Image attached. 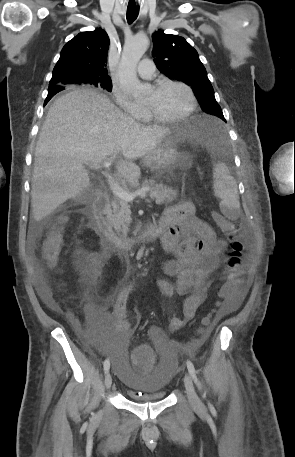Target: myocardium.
<instances>
[{
  "label": "myocardium",
  "instance_id": "obj_1",
  "mask_svg": "<svg viewBox=\"0 0 295 457\" xmlns=\"http://www.w3.org/2000/svg\"><path fill=\"white\" fill-rule=\"evenodd\" d=\"M168 85L180 86L183 89H185V91L187 92V94L189 96L190 104H189L188 109L184 113H182L178 116H174V117H163V116L157 114L152 108L145 106V110H146L149 118L152 119L153 121H156L159 123H175V122L183 121V120L187 119L189 116H191L197 108V99H196L194 91L188 84H186L182 81L171 80V79H161L154 84L153 88L158 90V89H161Z\"/></svg>",
  "mask_w": 295,
  "mask_h": 457
}]
</instances>
